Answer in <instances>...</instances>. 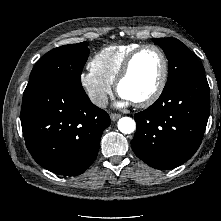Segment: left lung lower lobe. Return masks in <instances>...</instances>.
<instances>
[{
  "mask_svg": "<svg viewBox=\"0 0 221 221\" xmlns=\"http://www.w3.org/2000/svg\"><path fill=\"white\" fill-rule=\"evenodd\" d=\"M210 113L205 73L190 75L163 90L159 99L135 114L131 146L149 166L166 170L189 160L199 148Z\"/></svg>",
  "mask_w": 221,
  "mask_h": 221,
  "instance_id": "0a47b994",
  "label": "left lung lower lobe"
}]
</instances>
